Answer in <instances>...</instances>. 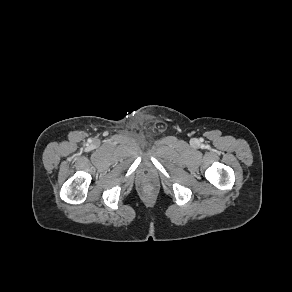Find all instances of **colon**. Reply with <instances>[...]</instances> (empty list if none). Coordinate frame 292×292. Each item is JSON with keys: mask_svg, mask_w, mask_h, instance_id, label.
<instances>
[{"mask_svg": "<svg viewBox=\"0 0 292 292\" xmlns=\"http://www.w3.org/2000/svg\"><path fill=\"white\" fill-rule=\"evenodd\" d=\"M145 189H146V191H151V190H152V186H151V185H147V186L145 187Z\"/></svg>", "mask_w": 292, "mask_h": 292, "instance_id": "obj_1", "label": "colon"}]
</instances>
